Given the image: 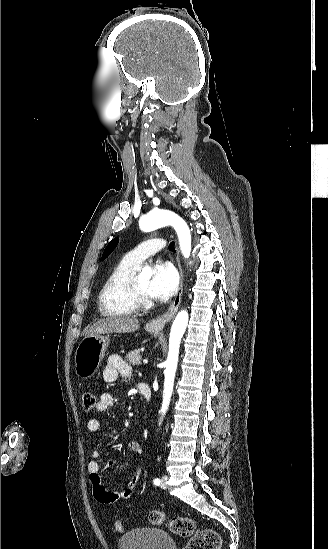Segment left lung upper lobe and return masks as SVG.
I'll return each mask as SVG.
<instances>
[{
  "label": "left lung upper lobe",
  "instance_id": "1",
  "mask_svg": "<svg viewBox=\"0 0 328 549\" xmlns=\"http://www.w3.org/2000/svg\"><path fill=\"white\" fill-rule=\"evenodd\" d=\"M117 243H118V238H115L107 245V247L105 248V250L103 252L102 259H105L106 257H108L112 253V251L117 246Z\"/></svg>",
  "mask_w": 328,
  "mask_h": 549
}]
</instances>
